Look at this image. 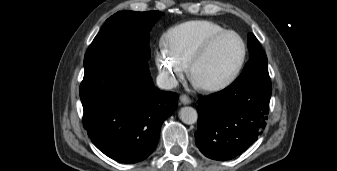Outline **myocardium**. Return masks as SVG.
<instances>
[{"label": "myocardium", "instance_id": "myocardium-1", "mask_svg": "<svg viewBox=\"0 0 337 171\" xmlns=\"http://www.w3.org/2000/svg\"><path fill=\"white\" fill-rule=\"evenodd\" d=\"M226 36H235V37L238 38V40L241 43L242 52H241V56H240V59H239L238 63L233 68V70L229 73V75L219 82L211 83V84H200V83L196 82L194 74H195V69H196L198 63L204 58V56L209 52V50L212 48V46L217 41L221 40L222 38H224ZM246 56H247V45H246L244 39L242 38V36L239 33H237L236 31L225 30L221 33H218V34L210 37L194 53V55L192 56V58L189 62V65H188L190 77L201 89H203L205 91L214 92V91H219V90L225 89L228 86H230L239 76V74H240V72H241V70L244 66Z\"/></svg>", "mask_w": 337, "mask_h": 171}]
</instances>
